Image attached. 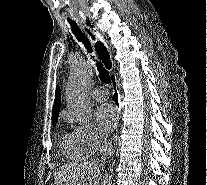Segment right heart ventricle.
I'll list each match as a JSON object with an SVG mask.
<instances>
[{
  "label": "right heart ventricle",
  "mask_w": 207,
  "mask_h": 185,
  "mask_svg": "<svg viewBox=\"0 0 207 185\" xmlns=\"http://www.w3.org/2000/svg\"><path fill=\"white\" fill-rule=\"evenodd\" d=\"M64 154L72 160H86L95 151L92 150L78 135L75 133L65 135L62 141Z\"/></svg>",
  "instance_id": "1"
}]
</instances>
